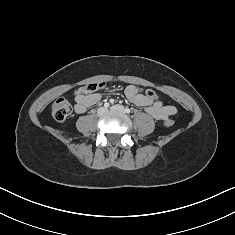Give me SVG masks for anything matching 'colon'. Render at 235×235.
I'll return each instance as SVG.
<instances>
[{
    "label": "colon",
    "mask_w": 235,
    "mask_h": 235,
    "mask_svg": "<svg viewBox=\"0 0 235 235\" xmlns=\"http://www.w3.org/2000/svg\"><path fill=\"white\" fill-rule=\"evenodd\" d=\"M106 86H107L106 82L90 83L79 89L78 94L93 93L98 90L104 89ZM142 92L147 98L153 101H157L158 96L153 90L146 89L142 90ZM71 110L72 108L69 101L65 98H59L52 105V116L57 121H64L71 114ZM173 123H174L173 120L168 119L166 121V126L171 127Z\"/></svg>",
    "instance_id": "colon-1"
}]
</instances>
